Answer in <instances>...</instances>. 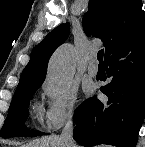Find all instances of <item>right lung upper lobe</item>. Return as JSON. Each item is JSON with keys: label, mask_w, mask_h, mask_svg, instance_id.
<instances>
[{"label": "right lung upper lobe", "mask_w": 145, "mask_h": 147, "mask_svg": "<svg viewBox=\"0 0 145 147\" xmlns=\"http://www.w3.org/2000/svg\"><path fill=\"white\" fill-rule=\"evenodd\" d=\"M82 24L87 35L103 40L106 59L126 38L145 25V13L140 0H89ZM69 31V23L61 24L33 49L17 90L41 86L50 56L67 39Z\"/></svg>", "instance_id": "obj_1"}]
</instances>
